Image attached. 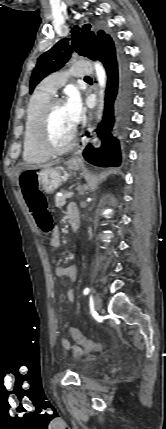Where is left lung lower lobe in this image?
Listing matches in <instances>:
<instances>
[{
    "label": "left lung lower lobe",
    "mask_w": 166,
    "mask_h": 429,
    "mask_svg": "<svg viewBox=\"0 0 166 429\" xmlns=\"http://www.w3.org/2000/svg\"><path fill=\"white\" fill-rule=\"evenodd\" d=\"M94 59L104 64L108 77L104 117L99 129L96 130L102 145L96 150L91 144L87 145L83 156L97 166H119L121 162L119 140L112 136L111 130L115 127L124 133L130 122L131 75L124 52L114 41L107 45L98 43Z\"/></svg>",
    "instance_id": "left-lung-lower-lobe-1"
}]
</instances>
